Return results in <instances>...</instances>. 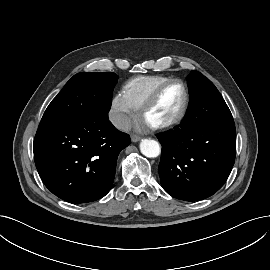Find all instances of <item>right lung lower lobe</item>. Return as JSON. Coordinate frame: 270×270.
<instances>
[{
    "mask_svg": "<svg viewBox=\"0 0 270 270\" xmlns=\"http://www.w3.org/2000/svg\"><path fill=\"white\" fill-rule=\"evenodd\" d=\"M130 137L99 113L80 119L41 120L34 160L44 185L71 203H87L111 189L118 154Z\"/></svg>",
    "mask_w": 270,
    "mask_h": 270,
    "instance_id": "obj_1",
    "label": "right lung lower lobe"
}]
</instances>
